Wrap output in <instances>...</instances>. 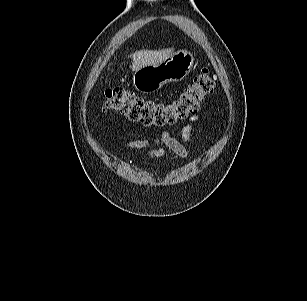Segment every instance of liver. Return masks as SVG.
<instances>
[{"instance_id": "obj_1", "label": "liver", "mask_w": 307, "mask_h": 301, "mask_svg": "<svg viewBox=\"0 0 307 301\" xmlns=\"http://www.w3.org/2000/svg\"><path fill=\"white\" fill-rule=\"evenodd\" d=\"M173 54V49H163L159 51L141 50L132 54V70L137 71L144 66L159 64Z\"/></svg>"}]
</instances>
